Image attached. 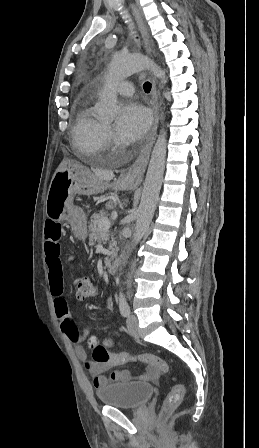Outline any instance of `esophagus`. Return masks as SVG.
I'll use <instances>...</instances> for the list:
<instances>
[{
	"label": "esophagus",
	"instance_id": "34e87169",
	"mask_svg": "<svg viewBox=\"0 0 259 448\" xmlns=\"http://www.w3.org/2000/svg\"><path fill=\"white\" fill-rule=\"evenodd\" d=\"M133 14L135 16V19L139 25L141 35L144 41V45L146 47V51L148 55L152 56V48L149 38V33L146 25L144 24L142 17L135 6V4H131ZM152 108H153V127L150 132V135L146 141V144L144 145L143 149L141 150V153L135 160V162L127 169L126 173L123 175V179L130 183V184H140L144 175V172L147 167V163L149 160L151 148L156 136L158 122H159V101H158V94H157V88H156V81L154 77H152Z\"/></svg>",
	"mask_w": 259,
	"mask_h": 448
}]
</instances>
